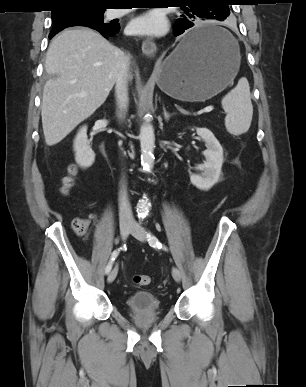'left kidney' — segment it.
<instances>
[{
    "label": "left kidney",
    "mask_w": 306,
    "mask_h": 387,
    "mask_svg": "<svg viewBox=\"0 0 306 387\" xmlns=\"http://www.w3.org/2000/svg\"><path fill=\"white\" fill-rule=\"evenodd\" d=\"M196 132L205 142L207 149L203 155L206 161L197 165L196 170L201 171V173L191 174L190 180L197 188L208 190L218 182L223 164V148L209 129L196 128Z\"/></svg>",
    "instance_id": "obj_1"
}]
</instances>
